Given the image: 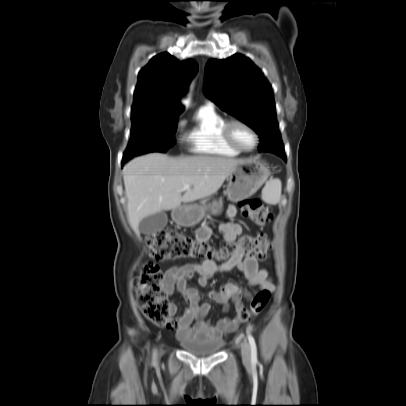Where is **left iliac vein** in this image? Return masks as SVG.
<instances>
[{
	"label": "left iliac vein",
	"instance_id": "obj_1",
	"mask_svg": "<svg viewBox=\"0 0 406 406\" xmlns=\"http://www.w3.org/2000/svg\"><path fill=\"white\" fill-rule=\"evenodd\" d=\"M241 355L243 362L249 365L251 363V353L250 346L247 341H243L241 344Z\"/></svg>",
	"mask_w": 406,
	"mask_h": 406
}]
</instances>
